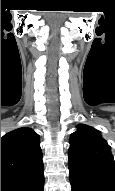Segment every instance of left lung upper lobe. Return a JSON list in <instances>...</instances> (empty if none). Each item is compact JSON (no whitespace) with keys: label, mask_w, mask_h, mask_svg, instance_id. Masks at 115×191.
I'll use <instances>...</instances> for the list:
<instances>
[{"label":"left lung upper lobe","mask_w":115,"mask_h":191,"mask_svg":"<svg viewBox=\"0 0 115 191\" xmlns=\"http://www.w3.org/2000/svg\"><path fill=\"white\" fill-rule=\"evenodd\" d=\"M69 165L98 171L115 178V161L110 146L97 129L87 125H79L71 134Z\"/></svg>","instance_id":"5c2ea615"}]
</instances>
